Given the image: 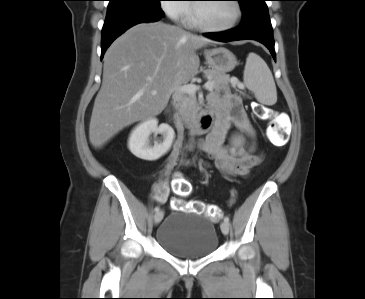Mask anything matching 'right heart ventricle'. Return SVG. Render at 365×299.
Masks as SVG:
<instances>
[{
	"label": "right heart ventricle",
	"mask_w": 365,
	"mask_h": 299,
	"mask_svg": "<svg viewBox=\"0 0 365 299\" xmlns=\"http://www.w3.org/2000/svg\"><path fill=\"white\" fill-rule=\"evenodd\" d=\"M186 21L188 24L192 25V18H191V13L189 12L187 18H186Z\"/></svg>",
	"instance_id": "right-heart-ventricle-1"
}]
</instances>
